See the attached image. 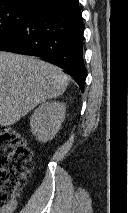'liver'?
Listing matches in <instances>:
<instances>
[{
    "label": "liver",
    "mask_w": 128,
    "mask_h": 213,
    "mask_svg": "<svg viewBox=\"0 0 128 213\" xmlns=\"http://www.w3.org/2000/svg\"><path fill=\"white\" fill-rule=\"evenodd\" d=\"M69 77L33 56L0 52V125L11 126L38 104L62 95Z\"/></svg>",
    "instance_id": "1"
}]
</instances>
